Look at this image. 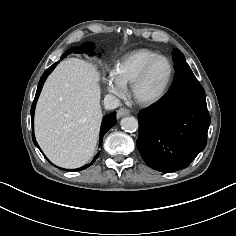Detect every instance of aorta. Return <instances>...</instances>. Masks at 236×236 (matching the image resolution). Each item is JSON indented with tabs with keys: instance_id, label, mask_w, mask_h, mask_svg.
<instances>
[{
	"instance_id": "762f6f07",
	"label": "aorta",
	"mask_w": 236,
	"mask_h": 236,
	"mask_svg": "<svg viewBox=\"0 0 236 236\" xmlns=\"http://www.w3.org/2000/svg\"><path fill=\"white\" fill-rule=\"evenodd\" d=\"M120 125L123 130L128 131V132L136 131L139 126L138 120L133 116L124 117L123 119H121Z\"/></svg>"
}]
</instances>
